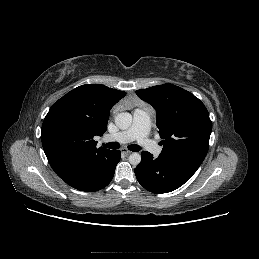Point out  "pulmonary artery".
I'll list each match as a JSON object with an SVG mask.
<instances>
[{
	"instance_id": "pulmonary-artery-1",
	"label": "pulmonary artery",
	"mask_w": 259,
	"mask_h": 259,
	"mask_svg": "<svg viewBox=\"0 0 259 259\" xmlns=\"http://www.w3.org/2000/svg\"><path fill=\"white\" fill-rule=\"evenodd\" d=\"M150 122L149 109H136L133 113V123L131 127L125 131L115 134L106 135L105 141H117L119 143H128L136 140L139 145L153 153L159 155L162 148L148 138V128Z\"/></svg>"
}]
</instances>
